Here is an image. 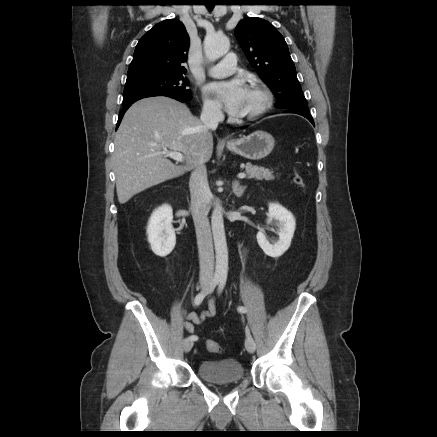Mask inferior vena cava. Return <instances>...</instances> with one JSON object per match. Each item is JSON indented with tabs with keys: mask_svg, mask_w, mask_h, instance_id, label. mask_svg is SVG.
<instances>
[{
	"mask_svg": "<svg viewBox=\"0 0 437 437\" xmlns=\"http://www.w3.org/2000/svg\"><path fill=\"white\" fill-rule=\"evenodd\" d=\"M222 111L214 106L205 107L200 120L207 130H215L222 119ZM191 212L196 230L200 264V282L210 283L214 275V251L207 205L211 192L204 163L197 165L190 176Z\"/></svg>",
	"mask_w": 437,
	"mask_h": 437,
	"instance_id": "obj_1",
	"label": "inferior vena cava"
}]
</instances>
